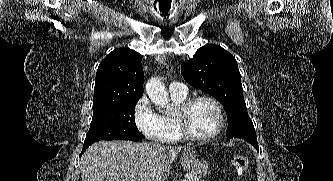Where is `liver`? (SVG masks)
I'll list each match as a JSON object with an SVG mask.
<instances>
[{
    "mask_svg": "<svg viewBox=\"0 0 333 181\" xmlns=\"http://www.w3.org/2000/svg\"><path fill=\"white\" fill-rule=\"evenodd\" d=\"M182 147L99 141L82 155V181H166ZM185 147L184 151L191 150Z\"/></svg>",
    "mask_w": 333,
    "mask_h": 181,
    "instance_id": "6515ba94",
    "label": "liver"
}]
</instances>
